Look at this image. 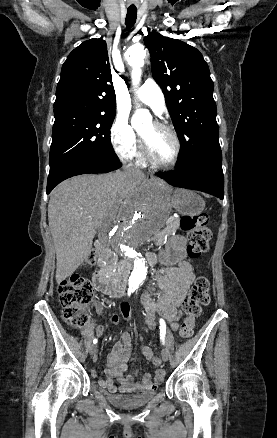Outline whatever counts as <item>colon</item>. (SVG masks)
Segmentation results:
<instances>
[{"label":"colon","instance_id":"colon-1","mask_svg":"<svg viewBox=\"0 0 277 438\" xmlns=\"http://www.w3.org/2000/svg\"><path fill=\"white\" fill-rule=\"evenodd\" d=\"M209 216L206 213L184 216L180 221L182 232L188 236L187 255L198 259L206 252L212 236L208 228ZM87 261H97L98 251L90 249L86 254ZM60 305L64 316L76 328H81L88 322L87 310L93 296L90 282L81 276H70L63 279L58 286ZM210 300V283L206 277L196 278L190 286L187 298L183 304L186 320L181 324L179 336L187 339L194 328V318L201 313L202 307ZM163 359L157 355L153 359L155 366H161Z\"/></svg>","mask_w":277,"mask_h":438}]
</instances>
